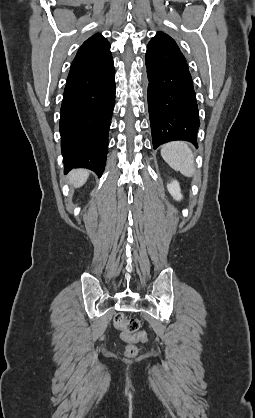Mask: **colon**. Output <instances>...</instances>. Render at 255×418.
Segmentation results:
<instances>
[{
	"mask_svg": "<svg viewBox=\"0 0 255 418\" xmlns=\"http://www.w3.org/2000/svg\"><path fill=\"white\" fill-rule=\"evenodd\" d=\"M115 326L122 331L124 338L129 341L125 346L124 354L129 357H135L138 353V349L134 342L146 341V334L138 332L140 328V322L136 318H126L123 314L118 313L114 318Z\"/></svg>",
	"mask_w": 255,
	"mask_h": 418,
	"instance_id": "obj_1",
	"label": "colon"
}]
</instances>
